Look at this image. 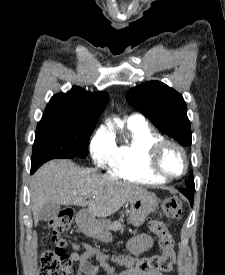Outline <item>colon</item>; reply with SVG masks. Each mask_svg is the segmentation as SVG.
Masks as SVG:
<instances>
[{
  "mask_svg": "<svg viewBox=\"0 0 225 275\" xmlns=\"http://www.w3.org/2000/svg\"><path fill=\"white\" fill-rule=\"evenodd\" d=\"M183 205L178 199L166 200L162 204V215L170 220H179ZM75 211L66 208L50 220L49 230L55 243L54 249L43 250L40 255V275H73L71 258L64 250L65 242L60 234L67 231L72 223ZM150 230L157 236L162 252L151 257L135 258L129 255L115 256L114 259L129 270L141 272H167L175 263L174 239L166 226L157 220L150 222Z\"/></svg>",
  "mask_w": 225,
  "mask_h": 275,
  "instance_id": "5ec220e1",
  "label": "colon"
}]
</instances>
